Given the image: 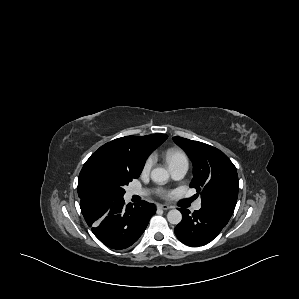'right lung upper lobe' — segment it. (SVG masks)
Instances as JSON below:
<instances>
[{
	"label": "right lung upper lobe",
	"instance_id": "1",
	"mask_svg": "<svg viewBox=\"0 0 299 299\" xmlns=\"http://www.w3.org/2000/svg\"><path fill=\"white\" fill-rule=\"evenodd\" d=\"M167 137L165 134L126 136L104 144L97 151L105 153L123 168L141 173L147 157Z\"/></svg>",
	"mask_w": 299,
	"mask_h": 299
}]
</instances>
